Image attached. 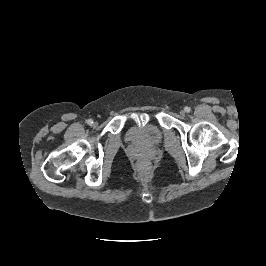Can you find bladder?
Wrapping results in <instances>:
<instances>
[{
  "label": "bladder",
  "instance_id": "bladder-1",
  "mask_svg": "<svg viewBox=\"0 0 266 266\" xmlns=\"http://www.w3.org/2000/svg\"><path fill=\"white\" fill-rule=\"evenodd\" d=\"M126 140L140 148H153L163 140V132L159 126L147 122L130 127L126 132Z\"/></svg>",
  "mask_w": 266,
  "mask_h": 266
}]
</instances>
